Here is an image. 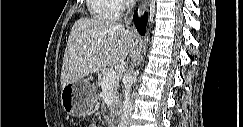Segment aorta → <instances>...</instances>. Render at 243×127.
Returning a JSON list of instances; mask_svg holds the SVG:
<instances>
[{"instance_id": "obj_1", "label": "aorta", "mask_w": 243, "mask_h": 127, "mask_svg": "<svg viewBox=\"0 0 243 127\" xmlns=\"http://www.w3.org/2000/svg\"><path fill=\"white\" fill-rule=\"evenodd\" d=\"M144 40H145V42H147V43L150 41L149 33H146V35H145V37H144ZM143 52H144V55H145L146 48H144Z\"/></svg>"}]
</instances>
